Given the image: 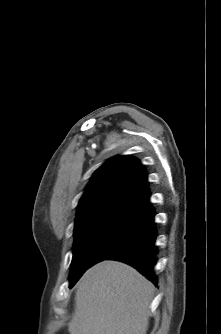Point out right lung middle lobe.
I'll list each match as a JSON object with an SVG mask.
<instances>
[{"instance_id": "1", "label": "right lung middle lobe", "mask_w": 221, "mask_h": 334, "mask_svg": "<svg viewBox=\"0 0 221 334\" xmlns=\"http://www.w3.org/2000/svg\"><path fill=\"white\" fill-rule=\"evenodd\" d=\"M144 217L128 214L97 215L82 221L74 229L70 288L86 269L106 260L145 222Z\"/></svg>"}]
</instances>
